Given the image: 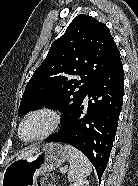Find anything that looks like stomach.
Returning a JSON list of instances; mask_svg holds the SVG:
<instances>
[{"instance_id": "0dacf381", "label": "stomach", "mask_w": 138, "mask_h": 186, "mask_svg": "<svg viewBox=\"0 0 138 186\" xmlns=\"http://www.w3.org/2000/svg\"><path fill=\"white\" fill-rule=\"evenodd\" d=\"M68 159L69 154L61 144H44L9 163L2 173L0 186H35L40 174L60 167Z\"/></svg>"}]
</instances>
